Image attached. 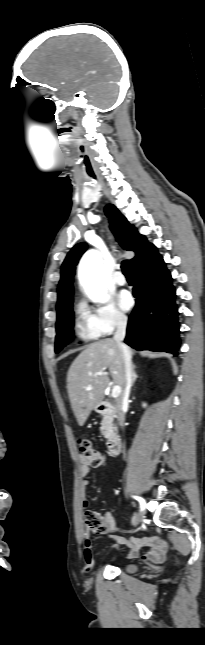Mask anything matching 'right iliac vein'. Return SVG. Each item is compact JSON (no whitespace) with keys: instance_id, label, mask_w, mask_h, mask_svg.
<instances>
[{"instance_id":"obj_1","label":"right iliac vein","mask_w":205,"mask_h":645,"mask_svg":"<svg viewBox=\"0 0 205 645\" xmlns=\"http://www.w3.org/2000/svg\"><path fill=\"white\" fill-rule=\"evenodd\" d=\"M140 522V518L136 519L134 525H137Z\"/></svg>"}]
</instances>
